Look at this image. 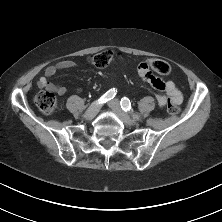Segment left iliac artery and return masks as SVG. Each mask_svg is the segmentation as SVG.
Masks as SVG:
<instances>
[{
  "instance_id": "44dca946",
  "label": "left iliac artery",
  "mask_w": 222,
  "mask_h": 222,
  "mask_svg": "<svg viewBox=\"0 0 222 222\" xmlns=\"http://www.w3.org/2000/svg\"><path fill=\"white\" fill-rule=\"evenodd\" d=\"M120 105H121V108L124 110V111H132V107H131V102L130 100L127 98V97H124L121 99L120 101ZM133 117L138 119V116L133 114Z\"/></svg>"
}]
</instances>
